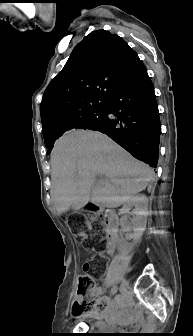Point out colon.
I'll list each match as a JSON object with an SVG mask.
<instances>
[{
	"instance_id": "obj_1",
	"label": "colon",
	"mask_w": 193,
	"mask_h": 336,
	"mask_svg": "<svg viewBox=\"0 0 193 336\" xmlns=\"http://www.w3.org/2000/svg\"><path fill=\"white\" fill-rule=\"evenodd\" d=\"M68 226L75 232L76 237L82 240L87 247H90L92 242H98L101 246L104 243L105 235L102 223L98 221L97 215L92 213L89 217L80 213L72 214L68 219ZM90 233V239L89 234ZM90 264H83L84 273L79 277L76 299L73 304L72 314L79 318L83 315L90 314L102 308V304L96 297L88 298L86 295L94 288L95 279L88 273Z\"/></svg>"
}]
</instances>
